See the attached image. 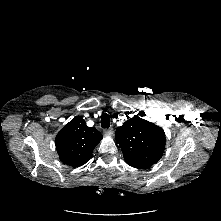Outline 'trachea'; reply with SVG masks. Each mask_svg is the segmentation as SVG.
<instances>
[{
	"instance_id": "1",
	"label": "trachea",
	"mask_w": 221,
	"mask_h": 221,
	"mask_svg": "<svg viewBox=\"0 0 221 221\" xmlns=\"http://www.w3.org/2000/svg\"><path fill=\"white\" fill-rule=\"evenodd\" d=\"M101 126L104 129H107L110 127V117L107 113H104L101 117Z\"/></svg>"
}]
</instances>
